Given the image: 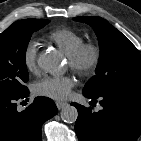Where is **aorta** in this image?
Masks as SVG:
<instances>
[{"label": "aorta", "instance_id": "aorta-1", "mask_svg": "<svg viewBox=\"0 0 141 141\" xmlns=\"http://www.w3.org/2000/svg\"><path fill=\"white\" fill-rule=\"evenodd\" d=\"M38 66L44 71L56 74L60 71L58 59L52 53H43L39 56ZM78 117V111L74 106L66 105L61 110V119L65 123H75Z\"/></svg>", "mask_w": 141, "mask_h": 141}]
</instances>
